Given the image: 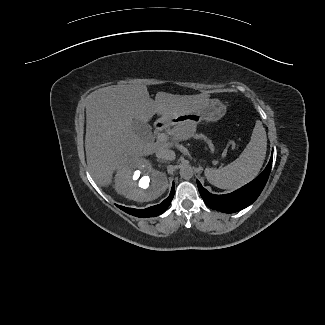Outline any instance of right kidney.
<instances>
[{"mask_svg":"<svg viewBox=\"0 0 325 325\" xmlns=\"http://www.w3.org/2000/svg\"><path fill=\"white\" fill-rule=\"evenodd\" d=\"M167 184L166 175L153 169L145 159L120 167L115 178V189L119 194L140 202L158 198L166 190Z\"/></svg>","mask_w":325,"mask_h":325,"instance_id":"1","label":"right kidney"}]
</instances>
